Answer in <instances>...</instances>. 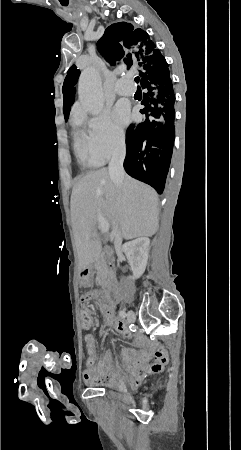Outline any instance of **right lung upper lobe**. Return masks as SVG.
<instances>
[{
  "label": "right lung upper lobe",
  "instance_id": "right-lung-upper-lobe-1",
  "mask_svg": "<svg viewBox=\"0 0 241 450\" xmlns=\"http://www.w3.org/2000/svg\"><path fill=\"white\" fill-rule=\"evenodd\" d=\"M97 47L112 65L115 61H121L127 65V69L140 71L144 66L150 67L165 62L149 35L140 28L134 29L132 24L126 22L110 25L99 39ZM77 74H80V71L73 65L67 76Z\"/></svg>",
  "mask_w": 241,
  "mask_h": 450
}]
</instances>
